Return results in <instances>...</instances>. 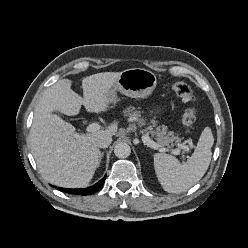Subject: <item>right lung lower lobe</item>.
<instances>
[{"label":"right lung lower lobe","instance_id":"98d812e1","mask_svg":"<svg viewBox=\"0 0 248 248\" xmlns=\"http://www.w3.org/2000/svg\"><path fill=\"white\" fill-rule=\"evenodd\" d=\"M105 178H102L99 182H97L96 184H94L93 186L87 187V188H81V189H66V188H61V187H56L58 190L66 192V193H70V194H76V195H90L93 193H96L97 191H99L104 182H105Z\"/></svg>","mask_w":248,"mask_h":248}]
</instances>
